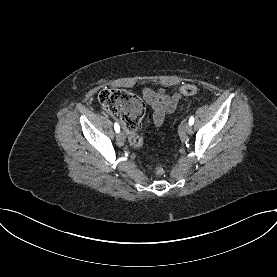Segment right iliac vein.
Listing matches in <instances>:
<instances>
[{
	"label": "right iliac vein",
	"mask_w": 277,
	"mask_h": 277,
	"mask_svg": "<svg viewBox=\"0 0 277 277\" xmlns=\"http://www.w3.org/2000/svg\"><path fill=\"white\" fill-rule=\"evenodd\" d=\"M116 138L119 142H124L126 137H125V134L123 132H118V134L116 135Z\"/></svg>",
	"instance_id": "63e3f726"
}]
</instances>
